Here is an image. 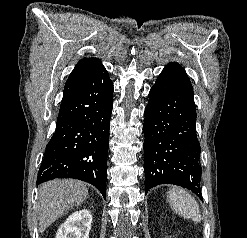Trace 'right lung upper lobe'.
<instances>
[{
  "mask_svg": "<svg viewBox=\"0 0 247 238\" xmlns=\"http://www.w3.org/2000/svg\"><path fill=\"white\" fill-rule=\"evenodd\" d=\"M100 60L97 58H83L81 59L71 74L69 75L65 87L64 97L73 92L83 82H85L90 76H92L97 70L102 68Z\"/></svg>",
  "mask_w": 247,
  "mask_h": 238,
  "instance_id": "obj_1",
  "label": "right lung upper lobe"
}]
</instances>
